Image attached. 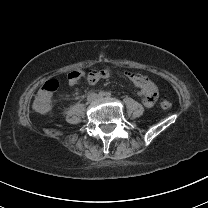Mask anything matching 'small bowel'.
Wrapping results in <instances>:
<instances>
[{
	"label": "small bowel",
	"mask_w": 208,
	"mask_h": 208,
	"mask_svg": "<svg viewBox=\"0 0 208 208\" xmlns=\"http://www.w3.org/2000/svg\"><path fill=\"white\" fill-rule=\"evenodd\" d=\"M112 70V66L108 65L107 70H97L92 71L91 68L87 69L89 73L88 79L91 83L97 82L100 78L106 77L109 75V71ZM82 75V74H81ZM126 77L130 80L137 83L140 87L139 95L142 97V102L146 107H151L154 105L157 97V89L154 83L150 80V78L142 73L127 71L125 73Z\"/></svg>",
	"instance_id": "small-bowel-1"
}]
</instances>
